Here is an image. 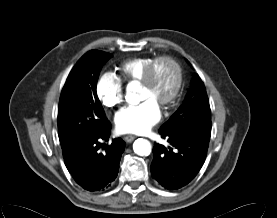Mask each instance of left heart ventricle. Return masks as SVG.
Here are the masks:
<instances>
[{"label":"left heart ventricle","mask_w":277,"mask_h":218,"mask_svg":"<svg viewBox=\"0 0 277 218\" xmlns=\"http://www.w3.org/2000/svg\"><path fill=\"white\" fill-rule=\"evenodd\" d=\"M174 69L166 62L158 63L155 71V81L149 88L142 87L143 98H153L157 102L170 90L174 81Z\"/></svg>","instance_id":"left-heart-ventricle-1"}]
</instances>
